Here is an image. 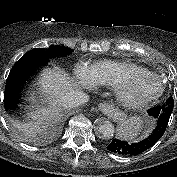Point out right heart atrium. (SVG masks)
I'll return each mask as SVG.
<instances>
[{
  "label": "right heart atrium",
  "mask_w": 177,
  "mask_h": 177,
  "mask_svg": "<svg viewBox=\"0 0 177 177\" xmlns=\"http://www.w3.org/2000/svg\"><path fill=\"white\" fill-rule=\"evenodd\" d=\"M75 76L77 80L85 86H93V69L85 62H78L75 66Z\"/></svg>",
  "instance_id": "d8ad5b80"
}]
</instances>
